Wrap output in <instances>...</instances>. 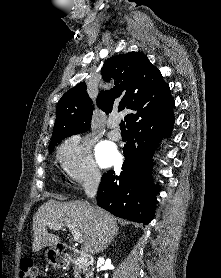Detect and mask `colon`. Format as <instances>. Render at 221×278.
Instances as JSON below:
<instances>
[{"label":"colon","mask_w":221,"mask_h":278,"mask_svg":"<svg viewBox=\"0 0 221 278\" xmlns=\"http://www.w3.org/2000/svg\"><path fill=\"white\" fill-rule=\"evenodd\" d=\"M19 278H38V270L31 259H24L20 265Z\"/></svg>","instance_id":"1"}]
</instances>
